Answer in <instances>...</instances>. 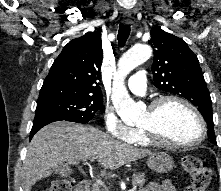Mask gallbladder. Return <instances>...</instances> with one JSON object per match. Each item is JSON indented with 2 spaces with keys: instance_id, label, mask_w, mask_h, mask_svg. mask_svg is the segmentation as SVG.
<instances>
[{
  "instance_id": "bac80fb5",
  "label": "gallbladder",
  "mask_w": 221,
  "mask_h": 191,
  "mask_svg": "<svg viewBox=\"0 0 221 191\" xmlns=\"http://www.w3.org/2000/svg\"><path fill=\"white\" fill-rule=\"evenodd\" d=\"M53 172L62 176H66L71 173V170L66 164H61L53 168Z\"/></svg>"
}]
</instances>
